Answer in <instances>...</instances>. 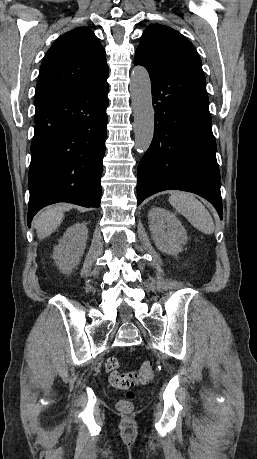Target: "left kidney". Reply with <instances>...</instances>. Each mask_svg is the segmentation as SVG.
Returning a JSON list of instances; mask_svg holds the SVG:
<instances>
[{
	"instance_id": "left-kidney-1",
	"label": "left kidney",
	"mask_w": 257,
	"mask_h": 459,
	"mask_svg": "<svg viewBox=\"0 0 257 459\" xmlns=\"http://www.w3.org/2000/svg\"><path fill=\"white\" fill-rule=\"evenodd\" d=\"M149 228L156 247L169 255H177L187 242V232L169 210L154 207L148 212Z\"/></svg>"
}]
</instances>
